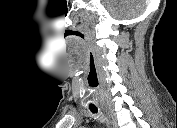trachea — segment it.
<instances>
[{
	"label": "trachea",
	"instance_id": "obj_1",
	"mask_svg": "<svg viewBox=\"0 0 177 128\" xmlns=\"http://www.w3.org/2000/svg\"><path fill=\"white\" fill-rule=\"evenodd\" d=\"M89 108H90V110H91L93 113H97V107L91 106V107H89Z\"/></svg>",
	"mask_w": 177,
	"mask_h": 128
}]
</instances>
